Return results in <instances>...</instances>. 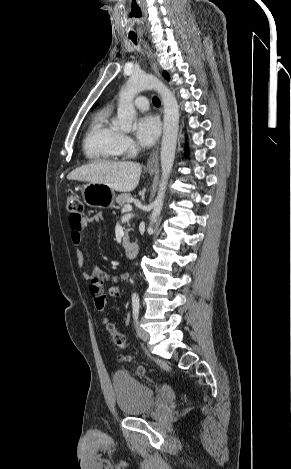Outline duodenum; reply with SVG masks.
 Instances as JSON below:
<instances>
[{
    "label": "duodenum",
    "instance_id": "duodenum-1",
    "mask_svg": "<svg viewBox=\"0 0 291 469\" xmlns=\"http://www.w3.org/2000/svg\"><path fill=\"white\" fill-rule=\"evenodd\" d=\"M125 255L127 258L133 259L138 254V245L136 243H127L124 246Z\"/></svg>",
    "mask_w": 291,
    "mask_h": 469
}]
</instances>
